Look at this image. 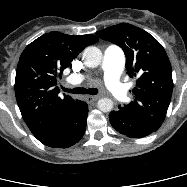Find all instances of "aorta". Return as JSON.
<instances>
[{
  "mask_svg": "<svg viewBox=\"0 0 187 187\" xmlns=\"http://www.w3.org/2000/svg\"><path fill=\"white\" fill-rule=\"evenodd\" d=\"M82 59L87 67L95 68L102 62V52L97 47L88 46L82 53ZM97 104L102 112H110L113 109V101L109 98H101Z\"/></svg>",
  "mask_w": 187,
  "mask_h": 187,
  "instance_id": "762f6f07",
  "label": "aorta"
}]
</instances>
